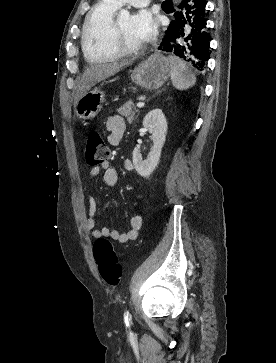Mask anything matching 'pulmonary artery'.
Wrapping results in <instances>:
<instances>
[{
    "label": "pulmonary artery",
    "instance_id": "obj_1",
    "mask_svg": "<svg viewBox=\"0 0 276 363\" xmlns=\"http://www.w3.org/2000/svg\"><path fill=\"white\" fill-rule=\"evenodd\" d=\"M112 1H114L118 5L127 3L134 7H144L147 6L151 0H112Z\"/></svg>",
    "mask_w": 276,
    "mask_h": 363
}]
</instances>
